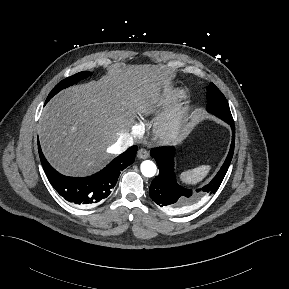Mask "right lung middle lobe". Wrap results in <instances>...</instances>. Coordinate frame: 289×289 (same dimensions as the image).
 I'll list each match as a JSON object with an SVG mask.
<instances>
[{"mask_svg":"<svg viewBox=\"0 0 289 289\" xmlns=\"http://www.w3.org/2000/svg\"><path fill=\"white\" fill-rule=\"evenodd\" d=\"M90 75H91L90 72H79L75 75H72V76L62 80L52 89V91L50 92V94L48 95V97L46 99V103L62 89L67 88V87L77 83L78 81H80L84 78H87Z\"/></svg>","mask_w":289,"mask_h":289,"instance_id":"right-lung-middle-lobe-1","label":"right lung middle lobe"}]
</instances>
